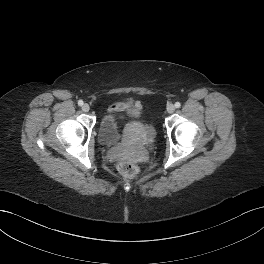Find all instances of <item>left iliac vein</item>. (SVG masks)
I'll use <instances>...</instances> for the list:
<instances>
[{"label":"left iliac vein","instance_id":"left-iliac-vein-1","mask_svg":"<svg viewBox=\"0 0 264 264\" xmlns=\"http://www.w3.org/2000/svg\"><path fill=\"white\" fill-rule=\"evenodd\" d=\"M175 111V106L173 105V104H169L168 106H167V112L168 113H173Z\"/></svg>","mask_w":264,"mask_h":264}]
</instances>
